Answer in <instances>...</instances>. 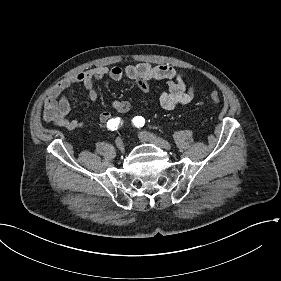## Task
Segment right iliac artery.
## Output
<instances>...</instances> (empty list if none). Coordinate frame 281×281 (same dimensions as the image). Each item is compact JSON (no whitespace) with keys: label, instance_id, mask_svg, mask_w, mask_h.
Instances as JSON below:
<instances>
[{"label":"right iliac artery","instance_id":"82829eb1","mask_svg":"<svg viewBox=\"0 0 281 281\" xmlns=\"http://www.w3.org/2000/svg\"><path fill=\"white\" fill-rule=\"evenodd\" d=\"M120 118L117 117V118H113L111 120L108 121L107 123V127L109 130H117L119 124H120Z\"/></svg>","mask_w":281,"mask_h":281}]
</instances>
